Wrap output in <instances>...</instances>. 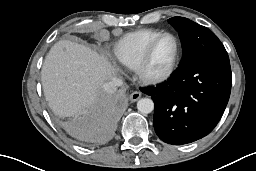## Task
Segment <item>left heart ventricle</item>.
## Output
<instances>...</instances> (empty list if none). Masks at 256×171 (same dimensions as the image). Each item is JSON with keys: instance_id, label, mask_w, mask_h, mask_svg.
I'll return each instance as SVG.
<instances>
[{"instance_id": "obj_1", "label": "left heart ventricle", "mask_w": 256, "mask_h": 171, "mask_svg": "<svg viewBox=\"0 0 256 171\" xmlns=\"http://www.w3.org/2000/svg\"><path fill=\"white\" fill-rule=\"evenodd\" d=\"M175 50L176 45L173 38H162L154 47L147 66V72L150 75H158L165 72L173 61Z\"/></svg>"}]
</instances>
